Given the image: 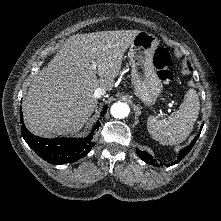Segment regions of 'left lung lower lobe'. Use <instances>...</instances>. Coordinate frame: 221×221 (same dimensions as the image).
I'll use <instances>...</instances> for the list:
<instances>
[{
    "mask_svg": "<svg viewBox=\"0 0 221 221\" xmlns=\"http://www.w3.org/2000/svg\"><path fill=\"white\" fill-rule=\"evenodd\" d=\"M190 70H192V68H190ZM202 127H203V125L201 126V130H202ZM201 130H200V132H201ZM200 132L194 138V140L191 142V144L189 146H187V147L183 148L182 150H180L178 160L173 162L171 165H174V164L180 162L188 154V152L192 149L193 145L195 144L196 140L198 139V137L200 135ZM136 153L147 164L155 165V160L148 153H146L144 151H140L139 149H136ZM167 166H170V165H167Z\"/></svg>",
    "mask_w": 221,
    "mask_h": 221,
    "instance_id": "0a47b994",
    "label": "left lung lower lobe"
}]
</instances>
